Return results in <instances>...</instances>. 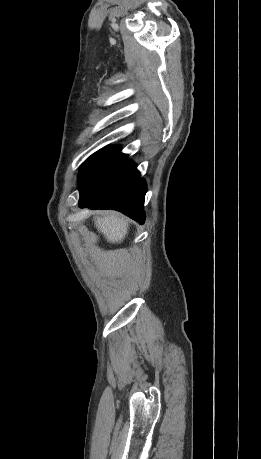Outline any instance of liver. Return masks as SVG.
<instances>
[{"label": "liver", "mask_w": 261, "mask_h": 459, "mask_svg": "<svg viewBox=\"0 0 261 459\" xmlns=\"http://www.w3.org/2000/svg\"><path fill=\"white\" fill-rule=\"evenodd\" d=\"M95 226L108 242L120 243L128 232V221L118 213H106L105 215L94 216Z\"/></svg>", "instance_id": "obj_1"}]
</instances>
